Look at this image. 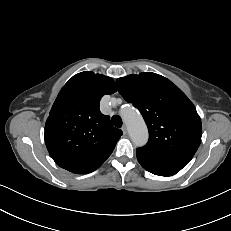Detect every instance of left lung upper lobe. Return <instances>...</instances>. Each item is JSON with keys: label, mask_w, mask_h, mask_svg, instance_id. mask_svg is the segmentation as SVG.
Returning a JSON list of instances; mask_svg holds the SVG:
<instances>
[{"label": "left lung upper lobe", "mask_w": 231, "mask_h": 231, "mask_svg": "<svg viewBox=\"0 0 231 231\" xmlns=\"http://www.w3.org/2000/svg\"><path fill=\"white\" fill-rule=\"evenodd\" d=\"M121 96L139 109L149 130L147 145L136 155L149 162L182 169L197 151L202 124L188 97L170 80L140 73L116 80Z\"/></svg>", "instance_id": "obj_1"}]
</instances>
